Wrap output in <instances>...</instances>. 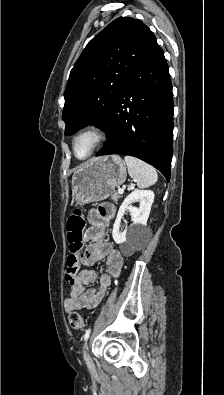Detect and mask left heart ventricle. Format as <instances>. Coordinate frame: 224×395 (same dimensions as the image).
Here are the masks:
<instances>
[{
	"instance_id": "obj_1",
	"label": "left heart ventricle",
	"mask_w": 224,
	"mask_h": 395,
	"mask_svg": "<svg viewBox=\"0 0 224 395\" xmlns=\"http://www.w3.org/2000/svg\"><path fill=\"white\" fill-rule=\"evenodd\" d=\"M93 138L91 136L80 137L75 145V153L79 158L85 157L91 150Z\"/></svg>"
}]
</instances>
